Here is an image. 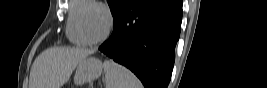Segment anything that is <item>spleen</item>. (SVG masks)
<instances>
[{
    "instance_id": "obj_1",
    "label": "spleen",
    "mask_w": 267,
    "mask_h": 88,
    "mask_svg": "<svg viewBox=\"0 0 267 88\" xmlns=\"http://www.w3.org/2000/svg\"><path fill=\"white\" fill-rule=\"evenodd\" d=\"M106 88H143L140 80L130 70L112 60L104 61Z\"/></svg>"
}]
</instances>
